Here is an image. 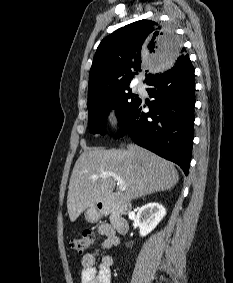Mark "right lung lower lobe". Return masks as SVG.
<instances>
[{"mask_svg":"<svg viewBox=\"0 0 233 283\" xmlns=\"http://www.w3.org/2000/svg\"><path fill=\"white\" fill-rule=\"evenodd\" d=\"M147 85L155 98L144 113L142 100L136 104L116 134H128L138 145L177 163L188 175L194 124L195 80L189 56L163 70Z\"/></svg>","mask_w":233,"mask_h":283,"instance_id":"98d812e1","label":"right lung lower lobe"}]
</instances>
